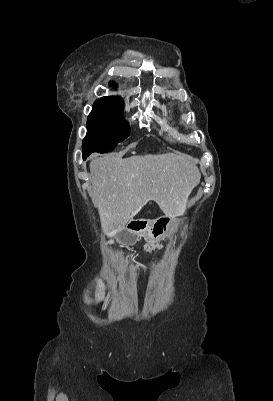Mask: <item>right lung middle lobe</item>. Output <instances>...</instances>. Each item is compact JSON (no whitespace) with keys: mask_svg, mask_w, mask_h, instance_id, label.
<instances>
[{"mask_svg":"<svg viewBox=\"0 0 273 401\" xmlns=\"http://www.w3.org/2000/svg\"><path fill=\"white\" fill-rule=\"evenodd\" d=\"M123 107L97 104L87 120V136L83 140V155L106 153L129 135V126L123 120Z\"/></svg>","mask_w":273,"mask_h":401,"instance_id":"dd1d6c3e","label":"right lung middle lobe"}]
</instances>
